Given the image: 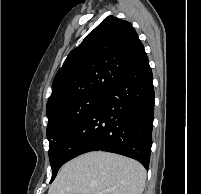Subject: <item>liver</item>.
I'll return each mask as SVG.
<instances>
[{"instance_id":"liver-1","label":"liver","mask_w":201,"mask_h":194,"mask_svg":"<svg viewBox=\"0 0 201 194\" xmlns=\"http://www.w3.org/2000/svg\"><path fill=\"white\" fill-rule=\"evenodd\" d=\"M146 171L127 157L95 151L66 163L48 194H142Z\"/></svg>"}]
</instances>
